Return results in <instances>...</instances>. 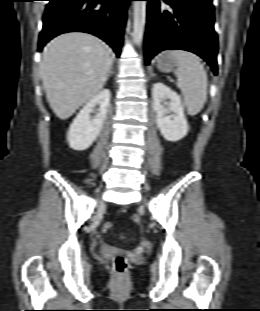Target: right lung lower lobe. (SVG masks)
Segmentation results:
<instances>
[{"label":"right lung lower lobe","mask_w":260,"mask_h":311,"mask_svg":"<svg viewBox=\"0 0 260 311\" xmlns=\"http://www.w3.org/2000/svg\"><path fill=\"white\" fill-rule=\"evenodd\" d=\"M129 1L49 0L38 50L59 34L86 32L103 39L119 57Z\"/></svg>","instance_id":"98d812e1"}]
</instances>
